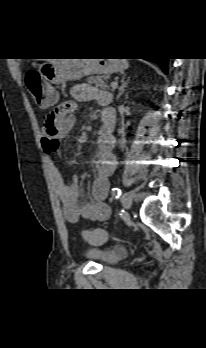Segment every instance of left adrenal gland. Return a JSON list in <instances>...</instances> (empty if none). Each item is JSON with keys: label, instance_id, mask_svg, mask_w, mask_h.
Wrapping results in <instances>:
<instances>
[{"label": "left adrenal gland", "instance_id": "left-adrenal-gland-1", "mask_svg": "<svg viewBox=\"0 0 206 348\" xmlns=\"http://www.w3.org/2000/svg\"><path fill=\"white\" fill-rule=\"evenodd\" d=\"M125 78H126V75H123V77H122V79H121V86H120V88H119V93H118V95H117V99H119V98L122 96V94H123L124 91H125V88H126L127 85H128L129 78H128L127 80H125Z\"/></svg>", "mask_w": 206, "mask_h": 348}]
</instances>
